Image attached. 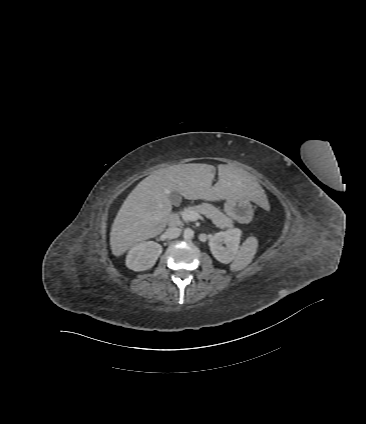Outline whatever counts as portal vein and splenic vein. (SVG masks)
<instances>
[{"instance_id": "18ae733b", "label": "portal vein and splenic vein", "mask_w": 366, "mask_h": 424, "mask_svg": "<svg viewBox=\"0 0 366 424\" xmlns=\"http://www.w3.org/2000/svg\"><path fill=\"white\" fill-rule=\"evenodd\" d=\"M181 216H182L183 220L186 221V222L196 221L198 219H202V216L198 212L193 211V210H187V209H185L181 212Z\"/></svg>"}]
</instances>
